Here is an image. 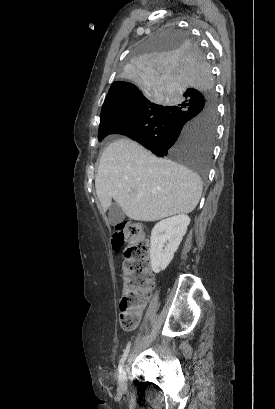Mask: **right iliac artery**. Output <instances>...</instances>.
<instances>
[{"mask_svg": "<svg viewBox=\"0 0 275 409\" xmlns=\"http://www.w3.org/2000/svg\"><path fill=\"white\" fill-rule=\"evenodd\" d=\"M130 345H131V343L129 342L127 344V346H126V349L124 350V353H123L121 359H120V362H119V365H118V370H119L120 373H121V371L123 369L124 363H125L126 358L128 356Z\"/></svg>", "mask_w": 275, "mask_h": 409, "instance_id": "obj_1", "label": "right iliac artery"}]
</instances>
